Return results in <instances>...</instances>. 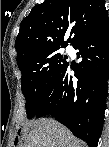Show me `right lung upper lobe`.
<instances>
[{"mask_svg":"<svg viewBox=\"0 0 109 147\" xmlns=\"http://www.w3.org/2000/svg\"><path fill=\"white\" fill-rule=\"evenodd\" d=\"M108 16L104 0H45L23 19L15 41L18 67L49 51L74 45ZM67 32L73 38L64 42Z\"/></svg>","mask_w":109,"mask_h":147,"instance_id":"obj_1","label":"right lung upper lobe"}]
</instances>
